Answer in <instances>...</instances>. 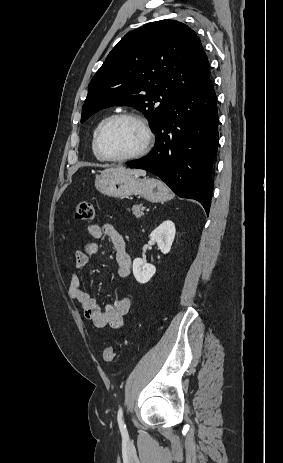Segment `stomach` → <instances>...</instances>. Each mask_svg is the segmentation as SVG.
<instances>
[{
	"mask_svg": "<svg viewBox=\"0 0 283 463\" xmlns=\"http://www.w3.org/2000/svg\"><path fill=\"white\" fill-rule=\"evenodd\" d=\"M96 189L109 197L128 198L138 195L150 202H163L172 198V193L161 181L154 178H139L132 174L102 172L96 177Z\"/></svg>",
	"mask_w": 283,
	"mask_h": 463,
	"instance_id": "0dacf381",
	"label": "stomach"
}]
</instances>
